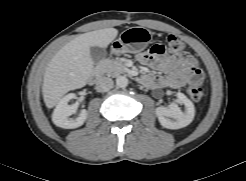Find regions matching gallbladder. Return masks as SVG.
<instances>
[{
	"label": "gallbladder",
	"mask_w": 246,
	"mask_h": 181,
	"mask_svg": "<svg viewBox=\"0 0 246 181\" xmlns=\"http://www.w3.org/2000/svg\"><path fill=\"white\" fill-rule=\"evenodd\" d=\"M90 56L94 64H98L106 56V50L102 47L92 46L90 47Z\"/></svg>",
	"instance_id": "1"
}]
</instances>
